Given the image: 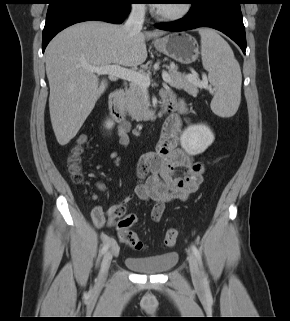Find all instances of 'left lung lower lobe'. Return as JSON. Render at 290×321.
Returning a JSON list of instances; mask_svg holds the SVG:
<instances>
[{"label":"left lung lower lobe","mask_w":290,"mask_h":321,"mask_svg":"<svg viewBox=\"0 0 290 321\" xmlns=\"http://www.w3.org/2000/svg\"><path fill=\"white\" fill-rule=\"evenodd\" d=\"M240 4L242 0H201L192 5L184 18L155 26L167 31L211 27L229 36L245 54L246 37Z\"/></svg>","instance_id":"left-lung-lower-lobe-1"}]
</instances>
